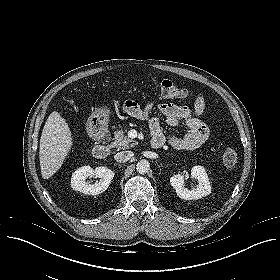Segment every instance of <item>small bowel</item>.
<instances>
[{
  "label": "small bowel",
  "instance_id": "small-bowel-1",
  "mask_svg": "<svg viewBox=\"0 0 280 280\" xmlns=\"http://www.w3.org/2000/svg\"><path fill=\"white\" fill-rule=\"evenodd\" d=\"M154 104H148L144 108L137 103L129 101L125 105V112L137 119H148L153 137L162 138L164 142L181 150H194L201 147L209 138V129L201 119L205 109V98L203 93H198L193 105L160 104L157 106L159 112L164 116L165 121L172 127L178 126L183 122L188 128L187 132L181 136L171 135L166 137L160 120L157 116H149Z\"/></svg>",
  "mask_w": 280,
  "mask_h": 280
}]
</instances>
